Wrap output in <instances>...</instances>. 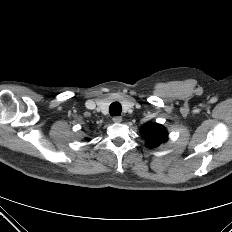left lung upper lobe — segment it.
Wrapping results in <instances>:
<instances>
[{"instance_id": "1", "label": "left lung upper lobe", "mask_w": 232, "mask_h": 232, "mask_svg": "<svg viewBox=\"0 0 232 232\" xmlns=\"http://www.w3.org/2000/svg\"><path fill=\"white\" fill-rule=\"evenodd\" d=\"M141 135L146 140V145L149 148L158 147L161 143L165 142L168 138L166 129L157 123L148 122L140 129Z\"/></svg>"}]
</instances>
